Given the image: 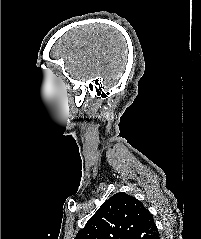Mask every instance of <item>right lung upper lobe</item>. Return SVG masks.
I'll use <instances>...</instances> for the list:
<instances>
[{"label": "right lung upper lobe", "mask_w": 201, "mask_h": 239, "mask_svg": "<svg viewBox=\"0 0 201 239\" xmlns=\"http://www.w3.org/2000/svg\"><path fill=\"white\" fill-rule=\"evenodd\" d=\"M152 214L135 197L116 193L88 220L75 239H156Z\"/></svg>", "instance_id": "1"}]
</instances>
